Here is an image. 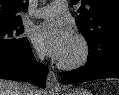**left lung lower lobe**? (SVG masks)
I'll return each mask as SVG.
<instances>
[{
	"label": "left lung lower lobe",
	"instance_id": "1",
	"mask_svg": "<svg viewBox=\"0 0 119 95\" xmlns=\"http://www.w3.org/2000/svg\"><path fill=\"white\" fill-rule=\"evenodd\" d=\"M103 78H119V47L105 54L102 60L89 52L85 66L61 73V83H80Z\"/></svg>",
	"mask_w": 119,
	"mask_h": 95
}]
</instances>
